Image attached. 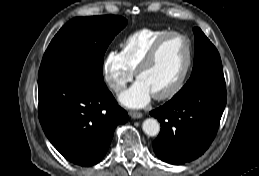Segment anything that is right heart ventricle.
Listing matches in <instances>:
<instances>
[{
	"label": "right heart ventricle",
	"mask_w": 259,
	"mask_h": 176,
	"mask_svg": "<svg viewBox=\"0 0 259 176\" xmlns=\"http://www.w3.org/2000/svg\"><path fill=\"white\" fill-rule=\"evenodd\" d=\"M168 29L143 28L130 34L122 44V56L126 65L135 72L153 44Z\"/></svg>",
	"instance_id": "e07e8e85"
}]
</instances>
